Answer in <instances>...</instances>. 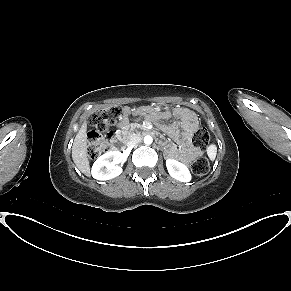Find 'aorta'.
I'll return each mask as SVG.
<instances>
[{"label": "aorta", "instance_id": "762f6f07", "mask_svg": "<svg viewBox=\"0 0 291 291\" xmlns=\"http://www.w3.org/2000/svg\"><path fill=\"white\" fill-rule=\"evenodd\" d=\"M152 142H153V138H152V136H150V135H146V136L144 137V143H145L146 145H150V144H152Z\"/></svg>", "mask_w": 291, "mask_h": 291}]
</instances>
